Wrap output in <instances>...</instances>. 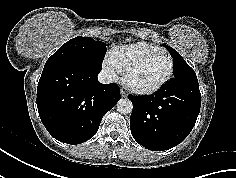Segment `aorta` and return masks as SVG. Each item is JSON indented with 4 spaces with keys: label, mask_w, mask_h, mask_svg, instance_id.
<instances>
[{
    "label": "aorta",
    "mask_w": 236,
    "mask_h": 178,
    "mask_svg": "<svg viewBox=\"0 0 236 178\" xmlns=\"http://www.w3.org/2000/svg\"><path fill=\"white\" fill-rule=\"evenodd\" d=\"M132 109H133V104L127 98H125V99L122 98L117 102V110L121 114H129L132 112Z\"/></svg>",
    "instance_id": "1"
}]
</instances>
